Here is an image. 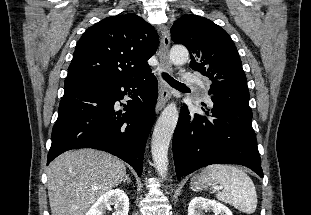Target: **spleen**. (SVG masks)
<instances>
[{"label": "spleen", "instance_id": "3e777b00", "mask_svg": "<svg viewBox=\"0 0 311 215\" xmlns=\"http://www.w3.org/2000/svg\"><path fill=\"white\" fill-rule=\"evenodd\" d=\"M203 176L223 187L218 200L231 204L241 212L252 214L257 207V194L252 179L241 169L224 164H214L203 170Z\"/></svg>", "mask_w": 311, "mask_h": 215}]
</instances>
